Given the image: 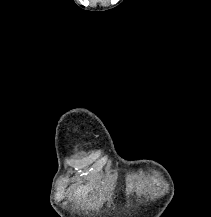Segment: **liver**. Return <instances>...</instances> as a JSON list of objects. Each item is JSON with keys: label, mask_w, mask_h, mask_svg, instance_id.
<instances>
[{"label": "liver", "mask_w": 211, "mask_h": 217, "mask_svg": "<svg viewBox=\"0 0 211 217\" xmlns=\"http://www.w3.org/2000/svg\"><path fill=\"white\" fill-rule=\"evenodd\" d=\"M89 189H90V187H88V186H80L75 191L74 196L77 197V198H80L81 196L85 197L87 195Z\"/></svg>", "instance_id": "1"}]
</instances>
